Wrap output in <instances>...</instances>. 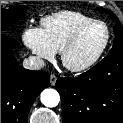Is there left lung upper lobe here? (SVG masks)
Here are the masks:
<instances>
[{
	"label": "left lung upper lobe",
	"mask_w": 123,
	"mask_h": 123,
	"mask_svg": "<svg viewBox=\"0 0 123 123\" xmlns=\"http://www.w3.org/2000/svg\"><path fill=\"white\" fill-rule=\"evenodd\" d=\"M100 12H107L111 18L116 21V25L114 26V32H115V40H114V45L112 49L110 50L109 54L116 53L118 51H123V30L121 27V24L119 23L117 17L110 11L99 8L98 9Z\"/></svg>",
	"instance_id": "5c2ea615"
}]
</instances>
